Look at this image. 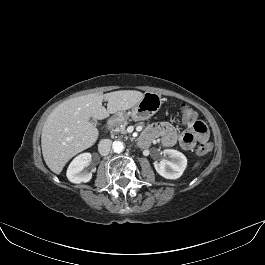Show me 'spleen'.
<instances>
[{"label":"spleen","instance_id":"3e777b00","mask_svg":"<svg viewBox=\"0 0 265 265\" xmlns=\"http://www.w3.org/2000/svg\"><path fill=\"white\" fill-rule=\"evenodd\" d=\"M198 166H199V163H196L195 166H194V168H197Z\"/></svg>","mask_w":265,"mask_h":265}]
</instances>
